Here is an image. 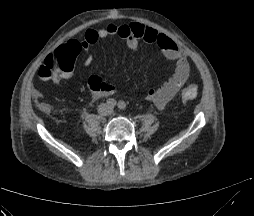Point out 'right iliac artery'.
Wrapping results in <instances>:
<instances>
[{
	"label": "right iliac artery",
	"instance_id": "obj_1",
	"mask_svg": "<svg viewBox=\"0 0 254 216\" xmlns=\"http://www.w3.org/2000/svg\"><path fill=\"white\" fill-rule=\"evenodd\" d=\"M107 105L110 106V107H114L116 105V100L108 99L107 100Z\"/></svg>",
	"mask_w": 254,
	"mask_h": 216
}]
</instances>
